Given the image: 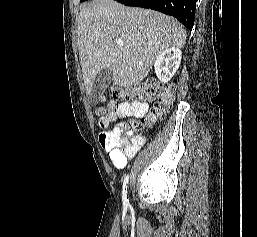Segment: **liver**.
Masks as SVG:
<instances>
[{"label": "liver", "instance_id": "liver-1", "mask_svg": "<svg viewBox=\"0 0 257 237\" xmlns=\"http://www.w3.org/2000/svg\"><path fill=\"white\" fill-rule=\"evenodd\" d=\"M80 63L86 92L103 68L113 71V85H138L160 52L182 48L186 31L173 17L153 10L126 7L113 0H96L77 19ZM123 42V47L117 45Z\"/></svg>", "mask_w": 257, "mask_h": 237}]
</instances>
